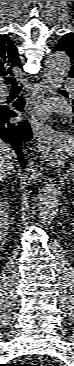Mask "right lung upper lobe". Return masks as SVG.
Segmentation results:
<instances>
[{
    "label": "right lung upper lobe",
    "mask_w": 74,
    "mask_h": 366,
    "mask_svg": "<svg viewBox=\"0 0 74 366\" xmlns=\"http://www.w3.org/2000/svg\"><path fill=\"white\" fill-rule=\"evenodd\" d=\"M17 66H20L17 48L8 36L0 34V81L12 75V69Z\"/></svg>",
    "instance_id": "cb5924a9"
}]
</instances>
